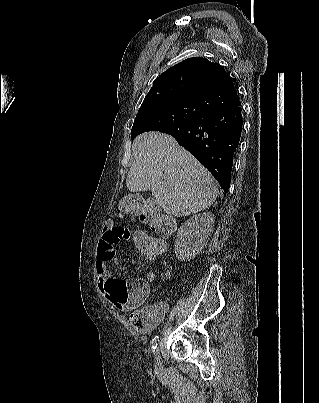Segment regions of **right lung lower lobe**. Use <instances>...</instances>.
I'll return each instance as SVG.
<instances>
[{"label":"right lung lower lobe","instance_id":"1","mask_svg":"<svg viewBox=\"0 0 319 403\" xmlns=\"http://www.w3.org/2000/svg\"><path fill=\"white\" fill-rule=\"evenodd\" d=\"M240 105L209 112L196 122L160 129L172 135L219 182L229 189L233 158L242 132Z\"/></svg>","mask_w":319,"mask_h":403}]
</instances>
